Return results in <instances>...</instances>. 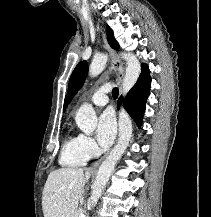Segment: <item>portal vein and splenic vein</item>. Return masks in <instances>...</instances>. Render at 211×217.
Returning a JSON list of instances; mask_svg holds the SVG:
<instances>
[{
  "mask_svg": "<svg viewBox=\"0 0 211 217\" xmlns=\"http://www.w3.org/2000/svg\"><path fill=\"white\" fill-rule=\"evenodd\" d=\"M79 217H85V216H84V214H83V213H81V214L79 215Z\"/></svg>",
  "mask_w": 211,
  "mask_h": 217,
  "instance_id": "portal-vein-and-splenic-vein-1",
  "label": "portal vein and splenic vein"
}]
</instances>
